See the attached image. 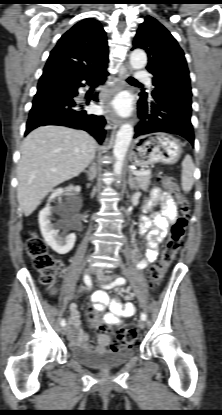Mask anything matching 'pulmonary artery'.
Returning a JSON list of instances; mask_svg holds the SVG:
<instances>
[{
	"instance_id": "pulmonary-artery-1",
	"label": "pulmonary artery",
	"mask_w": 222,
	"mask_h": 415,
	"mask_svg": "<svg viewBox=\"0 0 222 415\" xmlns=\"http://www.w3.org/2000/svg\"><path fill=\"white\" fill-rule=\"evenodd\" d=\"M135 77L137 81L151 85L150 75L147 71L139 70L135 73Z\"/></svg>"
}]
</instances>
